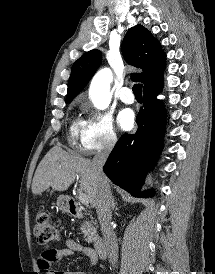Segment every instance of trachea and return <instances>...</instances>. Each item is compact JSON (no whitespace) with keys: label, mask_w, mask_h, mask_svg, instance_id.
<instances>
[{"label":"trachea","mask_w":215,"mask_h":274,"mask_svg":"<svg viewBox=\"0 0 215 274\" xmlns=\"http://www.w3.org/2000/svg\"><path fill=\"white\" fill-rule=\"evenodd\" d=\"M132 89L137 98H142V84H135Z\"/></svg>","instance_id":"1"}]
</instances>
